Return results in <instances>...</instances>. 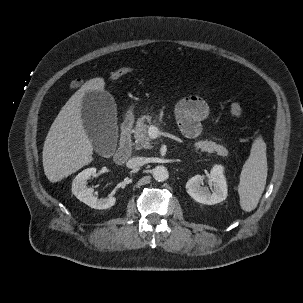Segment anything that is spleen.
Wrapping results in <instances>:
<instances>
[{
    "instance_id": "3e777b00",
    "label": "spleen",
    "mask_w": 303,
    "mask_h": 303,
    "mask_svg": "<svg viewBox=\"0 0 303 303\" xmlns=\"http://www.w3.org/2000/svg\"><path fill=\"white\" fill-rule=\"evenodd\" d=\"M267 170L266 144L259 135L253 141L250 156L240 174L238 193L244 211L250 212L257 207L265 189Z\"/></svg>"
}]
</instances>
